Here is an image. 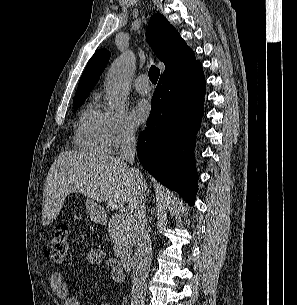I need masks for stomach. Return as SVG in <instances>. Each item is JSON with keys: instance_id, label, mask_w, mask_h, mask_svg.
I'll list each match as a JSON object with an SVG mask.
<instances>
[{"instance_id": "1", "label": "stomach", "mask_w": 297, "mask_h": 305, "mask_svg": "<svg viewBox=\"0 0 297 305\" xmlns=\"http://www.w3.org/2000/svg\"><path fill=\"white\" fill-rule=\"evenodd\" d=\"M86 210L90 218L95 223H102L105 220L104 211L102 208L92 199L87 198L86 200Z\"/></svg>"}]
</instances>
